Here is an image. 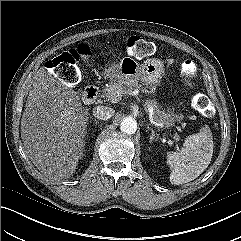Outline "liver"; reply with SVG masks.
Here are the masks:
<instances>
[{
	"label": "liver",
	"mask_w": 241,
	"mask_h": 241,
	"mask_svg": "<svg viewBox=\"0 0 241 241\" xmlns=\"http://www.w3.org/2000/svg\"><path fill=\"white\" fill-rule=\"evenodd\" d=\"M21 119L26 155L50 181L69 178L83 156L89 108L78 92L40 68Z\"/></svg>",
	"instance_id": "obj_1"
}]
</instances>
